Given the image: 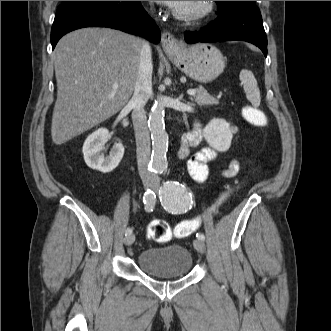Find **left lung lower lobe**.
<instances>
[{
	"label": "left lung lower lobe",
	"instance_id": "0a47b994",
	"mask_svg": "<svg viewBox=\"0 0 331 331\" xmlns=\"http://www.w3.org/2000/svg\"><path fill=\"white\" fill-rule=\"evenodd\" d=\"M184 38L187 43L247 41L258 46L267 56L266 33L257 7L228 11L198 32H185Z\"/></svg>",
	"mask_w": 331,
	"mask_h": 331
}]
</instances>
